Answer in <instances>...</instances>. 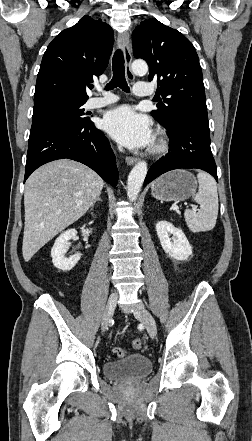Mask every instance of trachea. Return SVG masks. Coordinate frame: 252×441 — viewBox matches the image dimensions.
I'll list each match as a JSON object with an SVG mask.
<instances>
[{
  "label": "trachea",
  "mask_w": 252,
  "mask_h": 441,
  "mask_svg": "<svg viewBox=\"0 0 252 441\" xmlns=\"http://www.w3.org/2000/svg\"><path fill=\"white\" fill-rule=\"evenodd\" d=\"M113 78L106 85L105 90H112L116 87L125 92H129V87L125 79L124 57L121 50H117L112 59Z\"/></svg>",
  "instance_id": "obj_1"
}]
</instances>
